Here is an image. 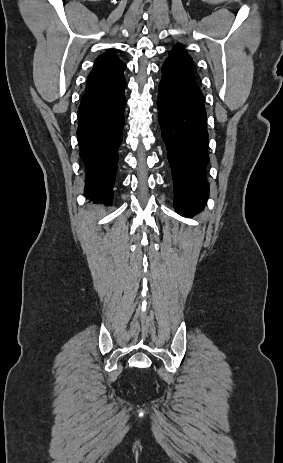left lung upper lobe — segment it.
I'll return each mask as SVG.
<instances>
[{
	"instance_id": "5c2ea615",
	"label": "left lung upper lobe",
	"mask_w": 283,
	"mask_h": 463,
	"mask_svg": "<svg viewBox=\"0 0 283 463\" xmlns=\"http://www.w3.org/2000/svg\"><path fill=\"white\" fill-rule=\"evenodd\" d=\"M167 60L171 61L179 68L195 77L193 73L192 59L186 53L182 46H174L172 50L169 52V58H167Z\"/></svg>"
}]
</instances>
